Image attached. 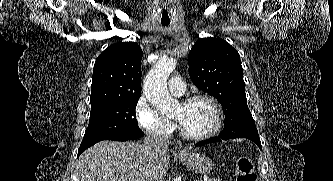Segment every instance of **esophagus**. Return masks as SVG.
I'll return each instance as SVG.
<instances>
[{"mask_svg": "<svg viewBox=\"0 0 333 181\" xmlns=\"http://www.w3.org/2000/svg\"><path fill=\"white\" fill-rule=\"evenodd\" d=\"M176 150H177V152H178L179 154H183V153H184V151H183L182 149H180V148H177Z\"/></svg>", "mask_w": 333, "mask_h": 181, "instance_id": "34e87169", "label": "esophagus"}]
</instances>
